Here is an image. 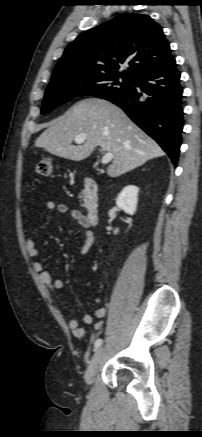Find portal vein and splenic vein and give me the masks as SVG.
I'll use <instances>...</instances> for the list:
<instances>
[{
    "label": "portal vein and splenic vein",
    "instance_id": "18ae733b",
    "mask_svg": "<svg viewBox=\"0 0 202 437\" xmlns=\"http://www.w3.org/2000/svg\"><path fill=\"white\" fill-rule=\"evenodd\" d=\"M85 138H86V136L84 134H80V135H77L74 140L77 144H81L85 141ZM112 159H113V154L111 152H107L104 154L101 162H102V164H107Z\"/></svg>",
    "mask_w": 202,
    "mask_h": 437
}]
</instances>
